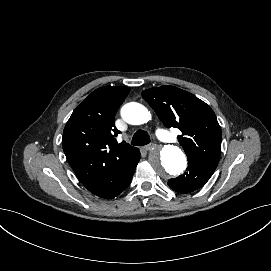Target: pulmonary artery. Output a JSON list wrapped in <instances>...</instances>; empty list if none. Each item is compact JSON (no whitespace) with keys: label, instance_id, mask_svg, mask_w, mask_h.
I'll return each instance as SVG.
<instances>
[{"label":"pulmonary artery","instance_id":"e3ab8cb5","mask_svg":"<svg viewBox=\"0 0 271 271\" xmlns=\"http://www.w3.org/2000/svg\"><path fill=\"white\" fill-rule=\"evenodd\" d=\"M156 137L161 140L163 143L171 144L174 141V138L171 135L166 134V130L163 127H157L154 130Z\"/></svg>","mask_w":271,"mask_h":271}]
</instances>
